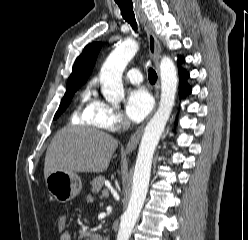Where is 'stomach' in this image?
<instances>
[{
	"label": "stomach",
	"mask_w": 248,
	"mask_h": 240,
	"mask_svg": "<svg viewBox=\"0 0 248 240\" xmlns=\"http://www.w3.org/2000/svg\"><path fill=\"white\" fill-rule=\"evenodd\" d=\"M49 193L60 203L75 198L82 189L81 178L76 173L55 171L46 178Z\"/></svg>",
	"instance_id": "stomach-1"
}]
</instances>
